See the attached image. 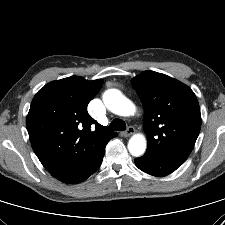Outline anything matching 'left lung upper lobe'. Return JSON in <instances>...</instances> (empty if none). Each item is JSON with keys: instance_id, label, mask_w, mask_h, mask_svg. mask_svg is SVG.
I'll return each instance as SVG.
<instances>
[{"instance_id": "1", "label": "left lung upper lobe", "mask_w": 225, "mask_h": 225, "mask_svg": "<svg viewBox=\"0 0 225 225\" xmlns=\"http://www.w3.org/2000/svg\"><path fill=\"white\" fill-rule=\"evenodd\" d=\"M144 107L147 152L182 165L201 128V113L194 92L165 74L145 71L132 79Z\"/></svg>"}]
</instances>
